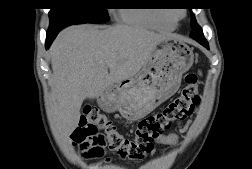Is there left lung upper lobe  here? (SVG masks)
<instances>
[{"label": "left lung upper lobe", "mask_w": 252, "mask_h": 169, "mask_svg": "<svg viewBox=\"0 0 252 169\" xmlns=\"http://www.w3.org/2000/svg\"><path fill=\"white\" fill-rule=\"evenodd\" d=\"M191 28H192V31H191L190 35H194L196 32L202 31L201 28L196 23V19L193 14H192V18H191Z\"/></svg>", "instance_id": "obj_1"}]
</instances>
